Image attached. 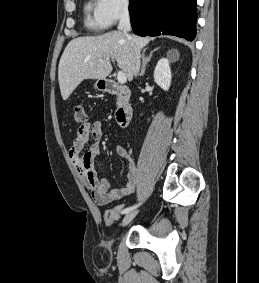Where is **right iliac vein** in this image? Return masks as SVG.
<instances>
[{"label":"right iliac vein","mask_w":259,"mask_h":283,"mask_svg":"<svg viewBox=\"0 0 259 283\" xmlns=\"http://www.w3.org/2000/svg\"><path fill=\"white\" fill-rule=\"evenodd\" d=\"M137 214H138L137 210L128 212L122 220V223H121L122 227L127 226L135 218Z\"/></svg>","instance_id":"right-iliac-vein-1"}]
</instances>
